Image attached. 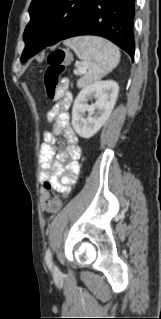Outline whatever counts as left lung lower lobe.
<instances>
[{
    "mask_svg": "<svg viewBox=\"0 0 161 319\" xmlns=\"http://www.w3.org/2000/svg\"><path fill=\"white\" fill-rule=\"evenodd\" d=\"M134 16L135 0H93L62 40L81 35L101 36L122 48L133 60ZM34 46L33 44L23 59H28L37 53V48Z\"/></svg>",
    "mask_w": 161,
    "mask_h": 319,
    "instance_id": "1",
    "label": "left lung lower lobe"
}]
</instances>
